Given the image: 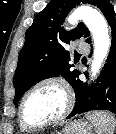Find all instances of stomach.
Listing matches in <instances>:
<instances>
[{
  "instance_id": "obj_1",
  "label": "stomach",
  "mask_w": 116,
  "mask_h": 134,
  "mask_svg": "<svg viewBox=\"0 0 116 134\" xmlns=\"http://www.w3.org/2000/svg\"><path fill=\"white\" fill-rule=\"evenodd\" d=\"M57 134H92V126L86 120H74L66 123Z\"/></svg>"
}]
</instances>
